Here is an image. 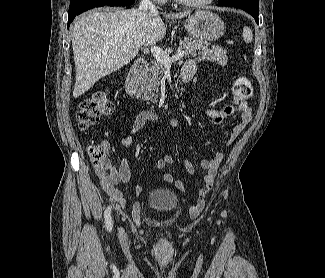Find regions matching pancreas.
I'll list each match as a JSON object with an SVG mask.
<instances>
[{"label": "pancreas", "instance_id": "cf45deb5", "mask_svg": "<svg viewBox=\"0 0 325 278\" xmlns=\"http://www.w3.org/2000/svg\"><path fill=\"white\" fill-rule=\"evenodd\" d=\"M179 45L180 47L178 48V51H184L185 57L195 58L198 53L196 60L199 62L207 60L217 62L220 65H225L227 63V50L220 46H212V49H209L208 45L204 44L202 41L193 40L188 37L180 40ZM164 71V65L158 61L153 63V65L149 68L148 74L143 80V100H150L153 103L157 101L159 92L158 87Z\"/></svg>", "mask_w": 325, "mask_h": 278}]
</instances>
